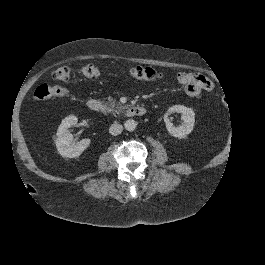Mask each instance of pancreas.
Returning a JSON list of instances; mask_svg holds the SVG:
<instances>
[{
  "mask_svg": "<svg viewBox=\"0 0 265 265\" xmlns=\"http://www.w3.org/2000/svg\"><path fill=\"white\" fill-rule=\"evenodd\" d=\"M107 105V112H123L125 109L128 108L127 105H122L120 102H116L115 99L112 97L108 98Z\"/></svg>",
  "mask_w": 265,
  "mask_h": 265,
  "instance_id": "1",
  "label": "pancreas"
}]
</instances>
